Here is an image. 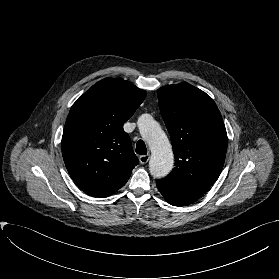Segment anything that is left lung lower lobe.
Here are the masks:
<instances>
[{
    "label": "left lung lower lobe",
    "mask_w": 279,
    "mask_h": 279,
    "mask_svg": "<svg viewBox=\"0 0 279 279\" xmlns=\"http://www.w3.org/2000/svg\"><path fill=\"white\" fill-rule=\"evenodd\" d=\"M157 187L165 200L174 206H186L199 199L198 196L178 191L159 180L157 181Z\"/></svg>",
    "instance_id": "0a47b994"
}]
</instances>
